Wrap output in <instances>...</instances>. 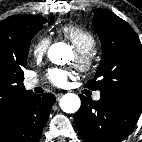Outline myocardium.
<instances>
[{
  "instance_id": "obj_1",
  "label": "myocardium",
  "mask_w": 142,
  "mask_h": 142,
  "mask_svg": "<svg viewBox=\"0 0 142 142\" xmlns=\"http://www.w3.org/2000/svg\"><path fill=\"white\" fill-rule=\"evenodd\" d=\"M98 58L94 52H80L76 54V66L84 73L93 71L97 66Z\"/></svg>"
}]
</instances>
